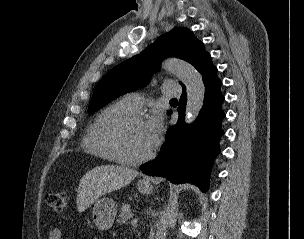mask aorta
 Segmentation results:
<instances>
[{"label":"aorta","instance_id":"1","mask_svg":"<svg viewBox=\"0 0 304 239\" xmlns=\"http://www.w3.org/2000/svg\"><path fill=\"white\" fill-rule=\"evenodd\" d=\"M162 67L175 75L186 86L187 104L185 122L192 123L198 116L204 102L205 86L201 74L189 63L179 59H167ZM170 214L164 212L156 224L155 239H166Z\"/></svg>","mask_w":304,"mask_h":239}]
</instances>
